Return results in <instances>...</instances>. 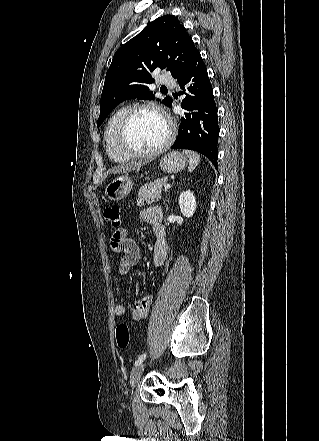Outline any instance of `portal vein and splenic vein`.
Here are the masks:
<instances>
[{
	"label": "portal vein and splenic vein",
	"instance_id": "18ae733b",
	"mask_svg": "<svg viewBox=\"0 0 319 441\" xmlns=\"http://www.w3.org/2000/svg\"><path fill=\"white\" fill-rule=\"evenodd\" d=\"M170 187H171L170 184H165V185H164V189H165V190H168Z\"/></svg>",
	"mask_w": 319,
	"mask_h": 441
}]
</instances>
